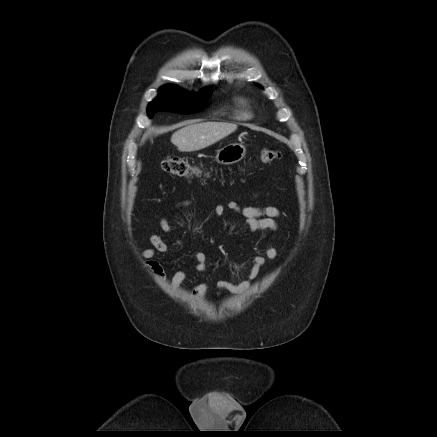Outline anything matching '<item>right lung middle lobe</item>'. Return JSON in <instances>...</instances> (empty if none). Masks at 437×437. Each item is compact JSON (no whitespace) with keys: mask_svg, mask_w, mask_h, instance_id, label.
<instances>
[{"mask_svg":"<svg viewBox=\"0 0 437 437\" xmlns=\"http://www.w3.org/2000/svg\"><path fill=\"white\" fill-rule=\"evenodd\" d=\"M211 93L212 89L209 88L191 96L173 85H166L160 89L159 96L149 103L147 112L150 118L157 111L195 113L205 106Z\"/></svg>","mask_w":437,"mask_h":437,"instance_id":"1","label":"right lung middle lobe"}]
</instances>
